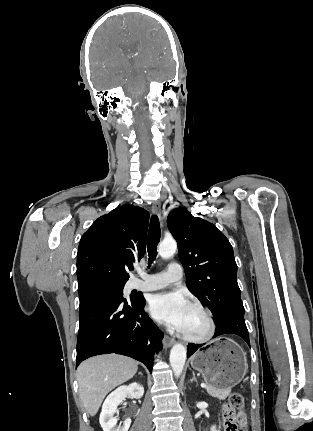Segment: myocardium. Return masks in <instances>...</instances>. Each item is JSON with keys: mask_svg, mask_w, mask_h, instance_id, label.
<instances>
[{"mask_svg": "<svg viewBox=\"0 0 313 431\" xmlns=\"http://www.w3.org/2000/svg\"><path fill=\"white\" fill-rule=\"evenodd\" d=\"M190 307L201 311L205 315V317L208 321L209 328H208L207 333L203 336L193 337V336H188V335L182 333L181 338L184 341L189 342V343H194V344L206 343L214 337L216 330H217V324H216V320L214 318V315L207 307H205L201 303L193 302L190 304Z\"/></svg>", "mask_w": 313, "mask_h": 431, "instance_id": "obj_1", "label": "myocardium"}]
</instances>
